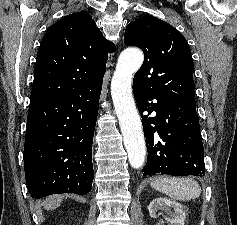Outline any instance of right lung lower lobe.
Listing matches in <instances>:
<instances>
[{"mask_svg": "<svg viewBox=\"0 0 237 225\" xmlns=\"http://www.w3.org/2000/svg\"><path fill=\"white\" fill-rule=\"evenodd\" d=\"M102 82L80 86L60 99L30 103L24 169L32 197L91 191L92 143Z\"/></svg>", "mask_w": 237, "mask_h": 225, "instance_id": "obj_1", "label": "right lung lower lobe"}]
</instances>
